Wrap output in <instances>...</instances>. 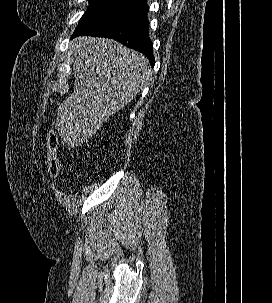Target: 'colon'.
Here are the masks:
<instances>
[{
  "mask_svg": "<svg viewBox=\"0 0 272 303\" xmlns=\"http://www.w3.org/2000/svg\"><path fill=\"white\" fill-rule=\"evenodd\" d=\"M60 138L55 129H51L47 135V158L46 169L50 177L55 178L60 173V159L58 155V148Z\"/></svg>",
  "mask_w": 272,
  "mask_h": 303,
  "instance_id": "obj_1",
  "label": "colon"
}]
</instances>
